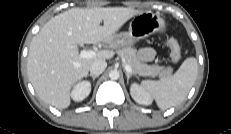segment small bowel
I'll return each instance as SVG.
<instances>
[{"label": "small bowel", "instance_id": "c3829d8e", "mask_svg": "<svg viewBox=\"0 0 231 134\" xmlns=\"http://www.w3.org/2000/svg\"><path fill=\"white\" fill-rule=\"evenodd\" d=\"M138 56L142 61L150 62L155 58L156 52L153 48L146 47L139 51Z\"/></svg>", "mask_w": 231, "mask_h": 134}]
</instances>
